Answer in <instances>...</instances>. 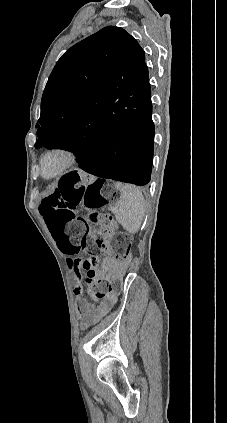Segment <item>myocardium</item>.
Instances as JSON below:
<instances>
[{
    "instance_id": "obj_1",
    "label": "myocardium",
    "mask_w": 227,
    "mask_h": 423,
    "mask_svg": "<svg viewBox=\"0 0 227 423\" xmlns=\"http://www.w3.org/2000/svg\"><path fill=\"white\" fill-rule=\"evenodd\" d=\"M53 156L60 157L61 164L55 173L51 175H47L45 173V164H46V161ZM39 164H40V173L42 177L45 179L51 180L71 172L75 168V166L78 164V155L73 149L69 147L56 146L44 151V153L42 154L40 158Z\"/></svg>"
}]
</instances>
